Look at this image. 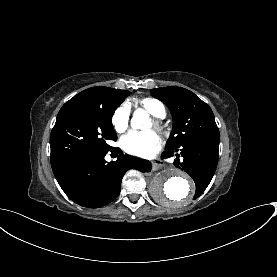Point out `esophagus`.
<instances>
[{"instance_id": "obj_1", "label": "esophagus", "mask_w": 277, "mask_h": 277, "mask_svg": "<svg viewBox=\"0 0 277 277\" xmlns=\"http://www.w3.org/2000/svg\"><path fill=\"white\" fill-rule=\"evenodd\" d=\"M151 164H152V170L154 171H157L163 167V163H161L159 159L152 160Z\"/></svg>"}]
</instances>
